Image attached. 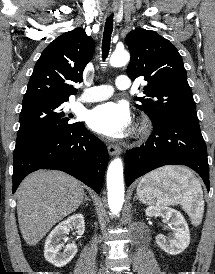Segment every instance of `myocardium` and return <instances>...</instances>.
I'll use <instances>...</instances> for the list:
<instances>
[{
	"mask_svg": "<svg viewBox=\"0 0 215 274\" xmlns=\"http://www.w3.org/2000/svg\"><path fill=\"white\" fill-rule=\"evenodd\" d=\"M148 130L149 125L147 122H142L137 129L139 135H146L148 133Z\"/></svg>",
	"mask_w": 215,
	"mask_h": 274,
	"instance_id": "myocardium-1",
	"label": "myocardium"
}]
</instances>
